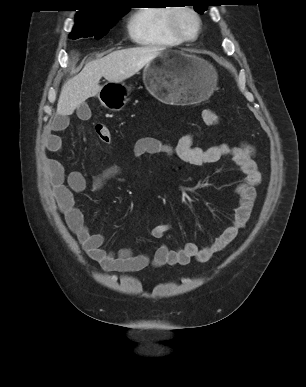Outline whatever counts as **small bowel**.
Returning a JSON list of instances; mask_svg holds the SVG:
<instances>
[{
	"mask_svg": "<svg viewBox=\"0 0 306 387\" xmlns=\"http://www.w3.org/2000/svg\"><path fill=\"white\" fill-rule=\"evenodd\" d=\"M68 123L67 115H58L54 118L44 137L46 152L59 153L62 150V139L55 132L64 130ZM196 136V133H187L179 138L175 146L164 144L153 137L140 138L134 144L133 153L135 157H142L146 154H164L167 157L175 158L180 163L193 166L215 163L226 157L230 158L244 175V180L234 188L235 193L239 196L238 206L231 223L209 246L199 248L193 243H187L182 248L172 250L162 244L156 249L152 257L147 254H134L129 248H122L118 251L104 249V236L89 230L84 221L83 213L76 206L75 194L85 190V177L78 171L66 173L60 161L48 156L45 157L44 169L59 211L84 251L104 270L136 272L148 265L154 267L187 265L191 260L205 263L216 253L225 249L236 238L238 232L245 227L256 200V187L261 182V174L254 159V147L248 143L239 146L223 143L200 148L194 146ZM120 173L121 168L117 165L106 168L94 178L93 190L101 189L108 180ZM169 229L168 223L160 224L153 228L152 235L160 239Z\"/></svg>",
	"mask_w": 306,
	"mask_h": 387,
	"instance_id": "obj_1",
	"label": "small bowel"
}]
</instances>
